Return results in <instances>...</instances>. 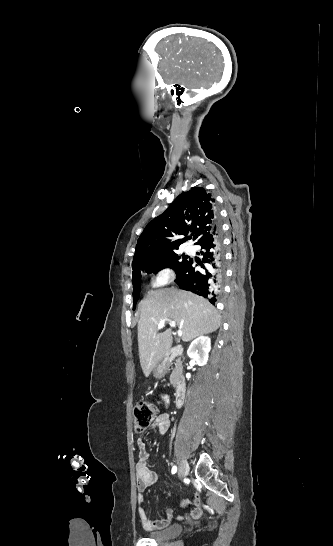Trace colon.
Instances as JSON below:
<instances>
[{"label": "colon", "instance_id": "obj_1", "mask_svg": "<svg viewBox=\"0 0 333 546\" xmlns=\"http://www.w3.org/2000/svg\"><path fill=\"white\" fill-rule=\"evenodd\" d=\"M156 405L147 401H140L134 407V428L137 432L146 430L156 418Z\"/></svg>", "mask_w": 333, "mask_h": 546}]
</instances>
